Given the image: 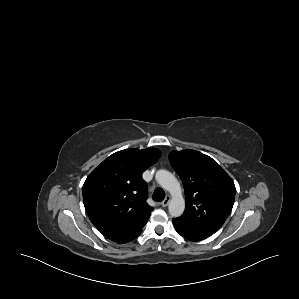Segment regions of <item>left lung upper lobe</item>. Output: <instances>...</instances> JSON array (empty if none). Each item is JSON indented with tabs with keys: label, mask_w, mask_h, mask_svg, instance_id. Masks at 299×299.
Instances as JSON below:
<instances>
[{
	"label": "left lung upper lobe",
	"mask_w": 299,
	"mask_h": 299,
	"mask_svg": "<svg viewBox=\"0 0 299 299\" xmlns=\"http://www.w3.org/2000/svg\"><path fill=\"white\" fill-rule=\"evenodd\" d=\"M169 159L184 185L186 208L179 219L192 228L216 232L232 210L234 182L216 161L195 150L172 151Z\"/></svg>",
	"instance_id": "5c2ea615"
}]
</instances>
